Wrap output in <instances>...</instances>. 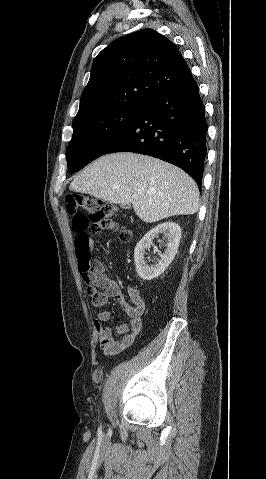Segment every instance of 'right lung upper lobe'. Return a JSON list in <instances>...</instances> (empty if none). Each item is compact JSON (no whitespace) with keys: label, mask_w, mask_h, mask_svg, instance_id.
Wrapping results in <instances>:
<instances>
[{"label":"right lung upper lobe","mask_w":266,"mask_h":479,"mask_svg":"<svg viewBox=\"0 0 266 479\" xmlns=\"http://www.w3.org/2000/svg\"><path fill=\"white\" fill-rule=\"evenodd\" d=\"M192 77L174 43L152 29L118 38L94 59L74 120L120 108H144Z\"/></svg>","instance_id":"1"}]
</instances>
